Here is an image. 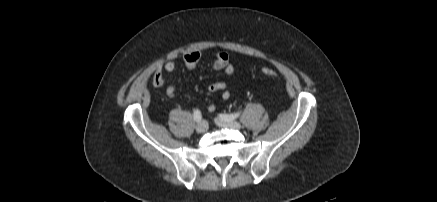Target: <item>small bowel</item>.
<instances>
[{
	"label": "small bowel",
	"instance_id": "obj_1",
	"mask_svg": "<svg viewBox=\"0 0 437 202\" xmlns=\"http://www.w3.org/2000/svg\"><path fill=\"white\" fill-rule=\"evenodd\" d=\"M201 59V53L199 51H191L184 55L183 61L186 67L193 69L197 66ZM211 66L215 70H223L227 75L234 74V67L230 62V58L225 52H218L215 54L212 59ZM176 65L173 61H168L163 65L159 66L154 74V85L157 87L164 86L163 72L171 73L175 70ZM208 91L210 93L221 92V98L223 100H228L231 96L228 86L225 82L217 81L213 82L209 85ZM166 95L169 98H174L176 95V89L174 86L169 85L166 87ZM216 106L214 104H210L208 106L209 111H214Z\"/></svg>",
	"mask_w": 437,
	"mask_h": 202
}]
</instances>
